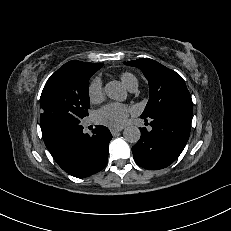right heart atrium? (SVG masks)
Masks as SVG:
<instances>
[{
  "instance_id": "right-heart-atrium-1",
  "label": "right heart atrium",
  "mask_w": 231,
  "mask_h": 231,
  "mask_svg": "<svg viewBox=\"0 0 231 231\" xmlns=\"http://www.w3.org/2000/svg\"><path fill=\"white\" fill-rule=\"evenodd\" d=\"M88 96L92 102H98L103 98V84L99 77L92 79L88 86Z\"/></svg>"
}]
</instances>
